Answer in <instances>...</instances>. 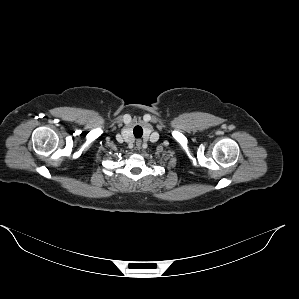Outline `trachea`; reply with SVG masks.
I'll return each mask as SVG.
<instances>
[{
  "label": "trachea",
  "instance_id": "3493384b",
  "mask_svg": "<svg viewBox=\"0 0 299 299\" xmlns=\"http://www.w3.org/2000/svg\"><path fill=\"white\" fill-rule=\"evenodd\" d=\"M133 133L136 138H140L143 135V130L140 126H135Z\"/></svg>",
  "mask_w": 299,
  "mask_h": 299
}]
</instances>
